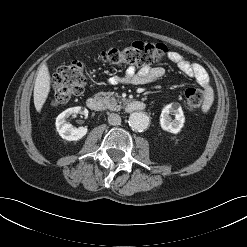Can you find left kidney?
<instances>
[{"label": "left kidney", "mask_w": 247, "mask_h": 247, "mask_svg": "<svg viewBox=\"0 0 247 247\" xmlns=\"http://www.w3.org/2000/svg\"><path fill=\"white\" fill-rule=\"evenodd\" d=\"M173 114L175 119H172L169 114ZM185 117L182 107L178 103H170L166 105L160 115L161 128L167 132L178 134L184 126Z\"/></svg>", "instance_id": "5707ae66"}]
</instances>
